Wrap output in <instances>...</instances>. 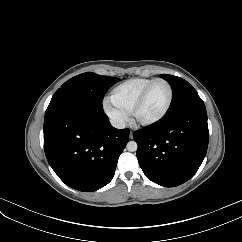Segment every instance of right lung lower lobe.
Listing matches in <instances>:
<instances>
[{"label":"right lung lower lobe","instance_id":"obj_1","mask_svg":"<svg viewBox=\"0 0 242 242\" xmlns=\"http://www.w3.org/2000/svg\"><path fill=\"white\" fill-rule=\"evenodd\" d=\"M128 140L129 129L114 128L104 111L67 107L45 115L46 158L58 177L79 191H95L112 180Z\"/></svg>","mask_w":242,"mask_h":242}]
</instances>
